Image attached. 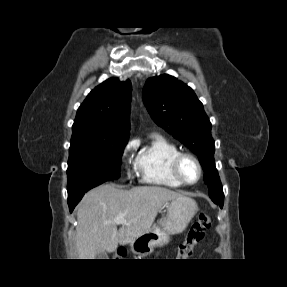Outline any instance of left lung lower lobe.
I'll return each mask as SVG.
<instances>
[{
  "mask_svg": "<svg viewBox=\"0 0 287 287\" xmlns=\"http://www.w3.org/2000/svg\"><path fill=\"white\" fill-rule=\"evenodd\" d=\"M222 207H223V204L220 205V208H222Z\"/></svg>",
  "mask_w": 287,
  "mask_h": 287,
  "instance_id": "obj_1",
  "label": "left lung lower lobe"
}]
</instances>
